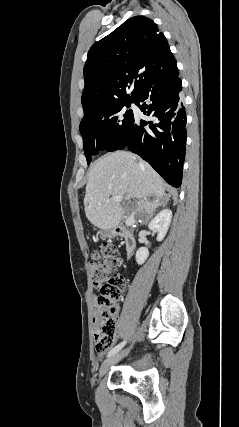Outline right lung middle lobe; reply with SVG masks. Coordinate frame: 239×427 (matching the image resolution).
I'll list each match as a JSON object with an SVG mask.
<instances>
[{"label":"right lung middle lobe","mask_w":239,"mask_h":427,"mask_svg":"<svg viewBox=\"0 0 239 427\" xmlns=\"http://www.w3.org/2000/svg\"><path fill=\"white\" fill-rule=\"evenodd\" d=\"M131 103L135 99L107 101L84 114L79 129L88 164L100 151H115L126 143L134 121Z\"/></svg>","instance_id":"1"}]
</instances>
